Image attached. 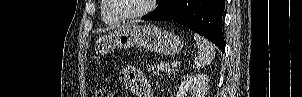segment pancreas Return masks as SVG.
<instances>
[{
  "mask_svg": "<svg viewBox=\"0 0 302 97\" xmlns=\"http://www.w3.org/2000/svg\"><path fill=\"white\" fill-rule=\"evenodd\" d=\"M152 70L153 75H161L162 73L173 74L176 73L177 68L171 67V63L169 61H163L157 63L156 65L147 68V71L150 72Z\"/></svg>",
  "mask_w": 302,
  "mask_h": 97,
  "instance_id": "obj_1",
  "label": "pancreas"
}]
</instances>
